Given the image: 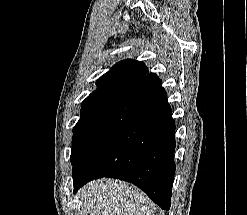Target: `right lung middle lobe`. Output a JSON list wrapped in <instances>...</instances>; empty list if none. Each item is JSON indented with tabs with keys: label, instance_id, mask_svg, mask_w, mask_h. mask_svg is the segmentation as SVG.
<instances>
[{
	"label": "right lung middle lobe",
	"instance_id": "1",
	"mask_svg": "<svg viewBox=\"0 0 247 215\" xmlns=\"http://www.w3.org/2000/svg\"><path fill=\"white\" fill-rule=\"evenodd\" d=\"M127 89H111L91 93L83 102L81 116L73 128L70 160L75 155L89 130L119 101Z\"/></svg>",
	"mask_w": 247,
	"mask_h": 215
}]
</instances>
